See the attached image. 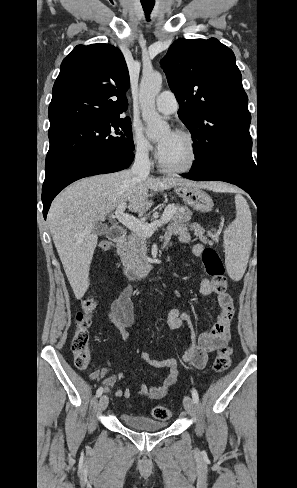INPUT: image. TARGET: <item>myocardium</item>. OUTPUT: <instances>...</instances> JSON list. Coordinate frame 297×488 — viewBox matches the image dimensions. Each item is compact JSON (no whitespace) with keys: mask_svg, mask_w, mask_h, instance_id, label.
Instances as JSON below:
<instances>
[{"mask_svg":"<svg viewBox=\"0 0 297 488\" xmlns=\"http://www.w3.org/2000/svg\"><path fill=\"white\" fill-rule=\"evenodd\" d=\"M174 134L184 138L188 142L190 149H191V158H190L189 162L185 166H182V167H171V166L166 165L161 160L159 152H158L157 153V163H158L159 168L164 172L177 173V174L187 173V172L193 170L198 163V160H199L198 144H197L196 140L194 139V137L186 131L178 130Z\"/></svg>","mask_w":297,"mask_h":488,"instance_id":"obj_1","label":"myocardium"}]
</instances>
